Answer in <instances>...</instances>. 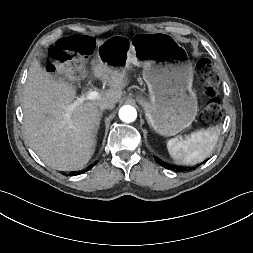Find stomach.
Here are the masks:
<instances>
[{
    "instance_id": "obj_1",
    "label": "stomach",
    "mask_w": 253,
    "mask_h": 253,
    "mask_svg": "<svg viewBox=\"0 0 253 253\" xmlns=\"http://www.w3.org/2000/svg\"><path fill=\"white\" fill-rule=\"evenodd\" d=\"M97 57L114 69L143 68L149 97L140 95L137 100L148 124L160 135H176L194 121L198 103L192 90L193 67L185 49L170 35L112 36L98 46Z\"/></svg>"
}]
</instances>
